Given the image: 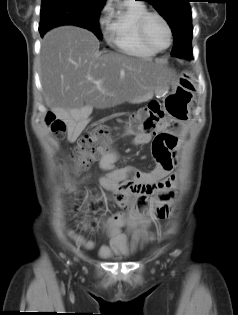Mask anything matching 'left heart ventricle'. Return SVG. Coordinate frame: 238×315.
<instances>
[{
    "label": "left heart ventricle",
    "instance_id": "1",
    "mask_svg": "<svg viewBox=\"0 0 238 315\" xmlns=\"http://www.w3.org/2000/svg\"><path fill=\"white\" fill-rule=\"evenodd\" d=\"M146 34L149 41L158 48H163L168 43V33L163 22L156 18H150L146 26Z\"/></svg>",
    "mask_w": 238,
    "mask_h": 315
}]
</instances>
